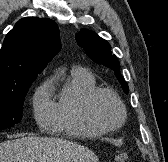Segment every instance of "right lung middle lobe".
<instances>
[{
    "instance_id": "right-lung-middle-lobe-1",
    "label": "right lung middle lobe",
    "mask_w": 168,
    "mask_h": 162,
    "mask_svg": "<svg viewBox=\"0 0 168 162\" xmlns=\"http://www.w3.org/2000/svg\"><path fill=\"white\" fill-rule=\"evenodd\" d=\"M33 81L28 79L0 87V130L21 121L23 102Z\"/></svg>"
}]
</instances>
